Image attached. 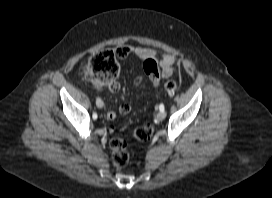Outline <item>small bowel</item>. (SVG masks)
Segmentation results:
<instances>
[{"mask_svg": "<svg viewBox=\"0 0 272 198\" xmlns=\"http://www.w3.org/2000/svg\"><path fill=\"white\" fill-rule=\"evenodd\" d=\"M117 52L120 58H125L129 54H135L139 59H154L157 56V52L153 49L146 47H136L132 48L129 46H121L117 48ZM177 62V57L174 54L168 53L164 54L159 60L158 74L155 76H149L152 85L154 87L158 86L162 78H168L175 72V65ZM107 88L110 92H118L120 90V83L118 81H113ZM98 104L103 106L101 99L97 100ZM132 110V105L130 102H123L119 111L122 114H128ZM108 120H114L116 118V113L114 111H109L106 114Z\"/></svg>", "mask_w": 272, "mask_h": 198, "instance_id": "c3829d8e", "label": "small bowel"}]
</instances>
